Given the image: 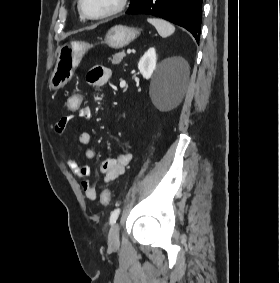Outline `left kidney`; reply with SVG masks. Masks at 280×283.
Here are the masks:
<instances>
[{
	"label": "left kidney",
	"instance_id": "left-kidney-1",
	"mask_svg": "<svg viewBox=\"0 0 280 283\" xmlns=\"http://www.w3.org/2000/svg\"><path fill=\"white\" fill-rule=\"evenodd\" d=\"M178 64L183 65L185 61L180 58L174 59ZM138 69L143 78L150 79L156 69V50L154 47L149 48L141 57L138 63Z\"/></svg>",
	"mask_w": 280,
	"mask_h": 283
}]
</instances>
